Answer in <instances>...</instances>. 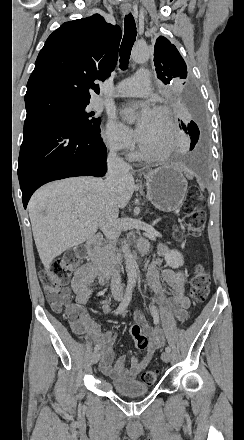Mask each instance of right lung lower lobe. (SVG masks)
<instances>
[{
    "label": "right lung lower lobe",
    "mask_w": 244,
    "mask_h": 440,
    "mask_svg": "<svg viewBox=\"0 0 244 440\" xmlns=\"http://www.w3.org/2000/svg\"><path fill=\"white\" fill-rule=\"evenodd\" d=\"M106 156L100 126L84 130L48 116H27L18 160L24 208L31 195L47 182L103 176Z\"/></svg>",
    "instance_id": "1"
}]
</instances>
